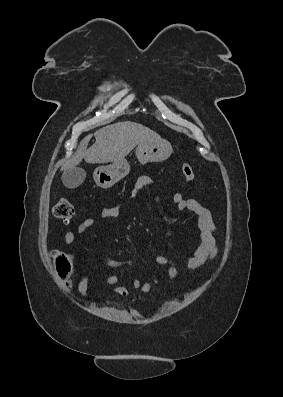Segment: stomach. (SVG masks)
<instances>
[{
	"mask_svg": "<svg viewBox=\"0 0 283 397\" xmlns=\"http://www.w3.org/2000/svg\"><path fill=\"white\" fill-rule=\"evenodd\" d=\"M170 142L164 139L145 141L138 145L136 156L141 164L149 162H162L172 154ZM130 171V165L126 159L113 162L110 165L99 166L95 169L93 177L101 188H109L124 178Z\"/></svg>",
	"mask_w": 283,
	"mask_h": 397,
	"instance_id": "1",
	"label": "stomach"
}]
</instances>
